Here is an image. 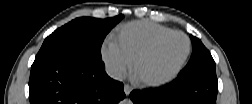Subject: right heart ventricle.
<instances>
[{"instance_id": "obj_1", "label": "right heart ventricle", "mask_w": 252, "mask_h": 104, "mask_svg": "<svg viewBox=\"0 0 252 104\" xmlns=\"http://www.w3.org/2000/svg\"><path fill=\"white\" fill-rule=\"evenodd\" d=\"M143 27L133 26L122 30L115 39L118 51L128 60H132L149 40Z\"/></svg>"}]
</instances>
